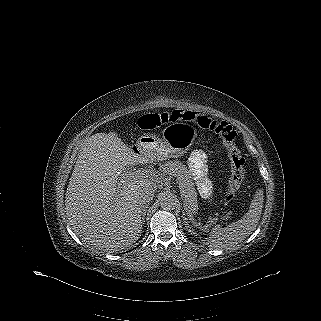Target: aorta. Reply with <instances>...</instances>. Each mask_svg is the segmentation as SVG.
I'll use <instances>...</instances> for the list:
<instances>
[{"label":"aorta","mask_w":321,"mask_h":321,"mask_svg":"<svg viewBox=\"0 0 321 321\" xmlns=\"http://www.w3.org/2000/svg\"><path fill=\"white\" fill-rule=\"evenodd\" d=\"M159 202L162 209L173 210L175 209L179 201L173 194H163Z\"/></svg>","instance_id":"obj_1"}]
</instances>
